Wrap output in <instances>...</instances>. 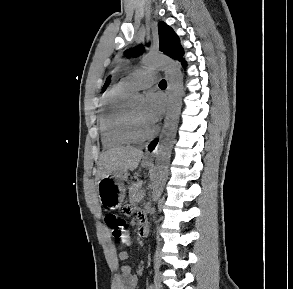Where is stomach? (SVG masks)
<instances>
[{
    "label": "stomach",
    "instance_id": "obj_1",
    "mask_svg": "<svg viewBox=\"0 0 293 289\" xmlns=\"http://www.w3.org/2000/svg\"><path fill=\"white\" fill-rule=\"evenodd\" d=\"M149 164L143 163V166ZM128 178V172L125 170H118L113 172L110 176L102 178L97 183L98 196L100 203L109 210L118 209L125 198L126 189L123 184Z\"/></svg>",
    "mask_w": 293,
    "mask_h": 289
}]
</instances>
